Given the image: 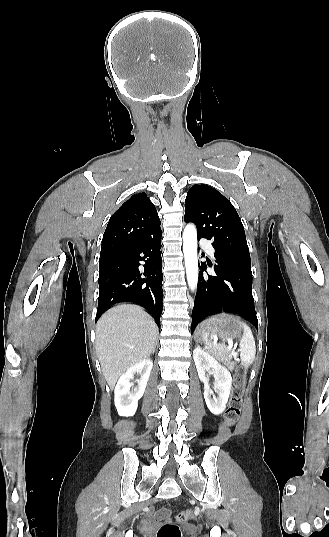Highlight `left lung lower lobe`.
Masks as SVG:
<instances>
[{
    "mask_svg": "<svg viewBox=\"0 0 329 537\" xmlns=\"http://www.w3.org/2000/svg\"><path fill=\"white\" fill-rule=\"evenodd\" d=\"M214 257L216 276L203 273L207 265L201 262L191 332L205 317L220 312L239 314L258 329L251 267L215 253Z\"/></svg>",
    "mask_w": 329,
    "mask_h": 537,
    "instance_id": "1",
    "label": "left lung lower lobe"
}]
</instances>
